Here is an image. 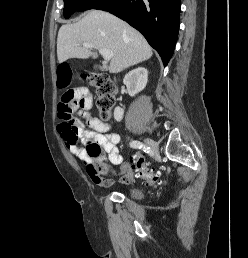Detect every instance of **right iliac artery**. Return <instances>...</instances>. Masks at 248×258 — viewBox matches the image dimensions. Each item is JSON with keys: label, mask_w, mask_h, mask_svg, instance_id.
Wrapping results in <instances>:
<instances>
[{"label": "right iliac artery", "mask_w": 248, "mask_h": 258, "mask_svg": "<svg viewBox=\"0 0 248 258\" xmlns=\"http://www.w3.org/2000/svg\"><path fill=\"white\" fill-rule=\"evenodd\" d=\"M130 147L132 148H137V149H142L143 151H147L149 147L145 146L142 142L133 140L130 142Z\"/></svg>", "instance_id": "82829eb1"}]
</instances>
